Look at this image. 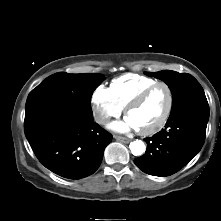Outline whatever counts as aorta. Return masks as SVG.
I'll list each match as a JSON object with an SVG mask.
<instances>
[{
	"mask_svg": "<svg viewBox=\"0 0 221 221\" xmlns=\"http://www.w3.org/2000/svg\"><path fill=\"white\" fill-rule=\"evenodd\" d=\"M129 148L134 156H140L146 150L145 144L141 140L131 142Z\"/></svg>",
	"mask_w": 221,
	"mask_h": 221,
	"instance_id": "1",
	"label": "aorta"
}]
</instances>
